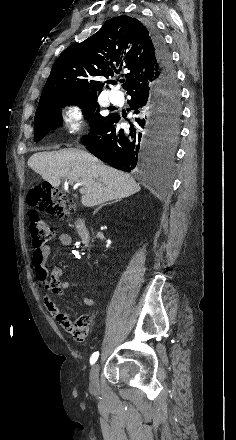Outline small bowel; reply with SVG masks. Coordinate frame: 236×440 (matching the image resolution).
<instances>
[{"label": "small bowel", "instance_id": "obj_1", "mask_svg": "<svg viewBox=\"0 0 236 440\" xmlns=\"http://www.w3.org/2000/svg\"><path fill=\"white\" fill-rule=\"evenodd\" d=\"M58 244L61 247H69L72 244V237L67 233H61L58 236ZM51 247L48 244H44L40 247L33 249L31 256V265L35 271V275L38 281L45 289L43 294V303L47 311L58 321L59 329L66 330L73 338L78 342H83L88 336L89 330L94 329V322L90 321L88 315H82L78 320L71 321L68 315L60 310L52 298L54 295H62L73 284L70 280H62L63 269L55 268L50 276L46 269V262L50 255ZM83 302L85 305L91 307L94 305V300L88 296H83ZM69 321H62V320Z\"/></svg>", "mask_w": 236, "mask_h": 440}]
</instances>
